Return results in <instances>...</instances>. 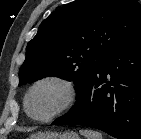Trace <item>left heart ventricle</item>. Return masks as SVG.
Listing matches in <instances>:
<instances>
[{"mask_svg": "<svg viewBox=\"0 0 141 139\" xmlns=\"http://www.w3.org/2000/svg\"><path fill=\"white\" fill-rule=\"evenodd\" d=\"M65 97L66 92L59 84H41L34 89L29 98V110L35 117H47L61 107Z\"/></svg>", "mask_w": 141, "mask_h": 139, "instance_id": "1", "label": "left heart ventricle"}]
</instances>
